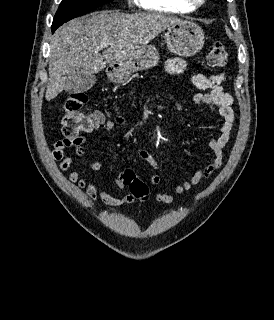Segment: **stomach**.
<instances>
[{"mask_svg":"<svg viewBox=\"0 0 274 320\" xmlns=\"http://www.w3.org/2000/svg\"><path fill=\"white\" fill-rule=\"evenodd\" d=\"M166 46L171 54L182 56V58H190L196 56L202 50L205 42V34L194 22L181 20L174 26H169V30L165 36ZM159 60L158 52L153 46H146L137 54L135 58H131L128 62L121 64H111L106 70V74L115 84H123L128 80L133 72H141V70H149L157 66Z\"/></svg>","mask_w":274,"mask_h":320,"instance_id":"stomach-1","label":"stomach"}]
</instances>
